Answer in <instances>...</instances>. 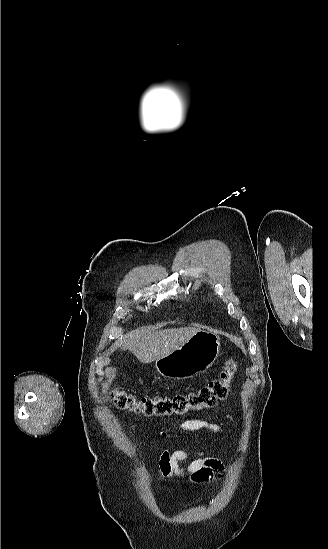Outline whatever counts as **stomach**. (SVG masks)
<instances>
[{"label": "stomach", "mask_w": 328, "mask_h": 549, "mask_svg": "<svg viewBox=\"0 0 328 549\" xmlns=\"http://www.w3.org/2000/svg\"><path fill=\"white\" fill-rule=\"evenodd\" d=\"M219 353L220 337L206 327L170 355L156 359L155 367L167 379H193L212 367Z\"/></svg>", "instance_id": "obj_1"}]
</instances>
